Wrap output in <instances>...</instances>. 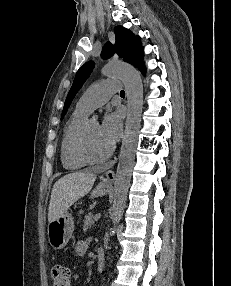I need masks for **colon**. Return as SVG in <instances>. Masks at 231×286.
<instances>
[{
	"label": "colon",
	"mask_w": 231,
	"mask_h": 286,
	"mask_svg": "<svg viewBox=\"0 0 231 286\" xmlns=\"http://www.w3.org/2000/svg\"><path fill=\"white\" fill-rule=\"evenodd\" d=\"M53 286H70L71 271L63 264H56L51 271Z\"/></svg>",
	"instance_id": "5ec220e1"
}]
</instances>
